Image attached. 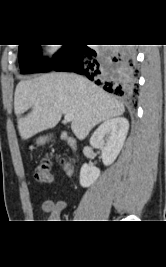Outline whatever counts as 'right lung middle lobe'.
Returning a JSON list of instances; mask_svg holds the SVG:
<instances>
[{
	"instance_id": "right-lung-middle-lobe-1",
	"label": "right lung middle lobe",
	"mask_w": 166,
	"mask_h": 267,
	"mask_svg": "<svg viewBox=\"0 0 166 267\" xmlns=\"http://www.w3.org/2000/svg\"><path fill=\"white\" fill-rule=\"evenodd\" d=\"M71 45H64L53 59H42L38 45H19V63L23 74L48 72L60 63L66 56Z\"/></svg>"
}]
</instances>
